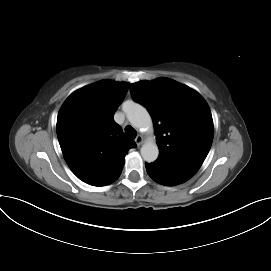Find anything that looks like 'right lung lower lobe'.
<instances>
[{
    "label": "right lung lower lobe",
    "mask_w": 271,
    "mask_h": 271,
    "mask_svg": "<svg viewBox=\"0 0 271 271\" xmlns=\"http://www.w3.org/2000/svg\"><path fill=\"white\" fill-rule=\"evenodd\" d=\"M119 175H120V174H119ZM118 177H119V176H118ZM118 177H117V178H118ZM117 178H116V179H117ZM116 179H115V180H116ZM115 180H113V181H115ZM113 181H112V182H113ZM112 182H111V183H112Z\"/></svg>",
    "instance_id": "1"
}]
</instances>
